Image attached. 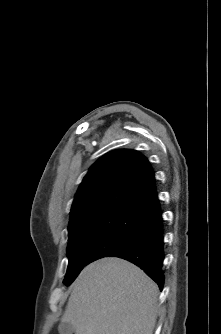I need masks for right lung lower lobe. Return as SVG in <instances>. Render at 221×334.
I'll return each instance as SVG.
<instances>
[{"instance_id": "1", "label": "right lung lower lobe", "mask_w": 221, "mask_h": 334, "mask_svg": "<svg viewBox=\"0 0 221 334\" xmlns=\"http://www.w3.org/2000/svg\"><path fill=\"white\" fill-rule=\"evenodd\" d=\"M159 202L142 216L137 227L106 257H120L139 266L159 286L164 284L163 226Z\"/></svg>"}]
</instances>
